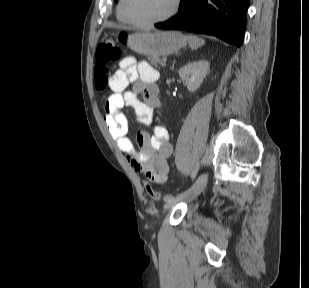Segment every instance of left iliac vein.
<instances>
[{
    "label": "left iliac vein",
    "mask_w": 309,
    "mask_h": 288,
    "mask_svg": "<svg viewBox=\"0 0 309 288\" xmlns=\"http://www.w3.org/2000/svg\"><path fill=\"white\" fill-rule=\"evenodd\" d=\"M207 183V174L202 173L196 182L192 185V187L189 189V194L185 198H174L170 201H166L164 208L170 209L174 205H176L179 201L182 200H190L196 198L205 188Z\"/></svg>",
    "instance_id": "obj_1"
}]
</instances>
